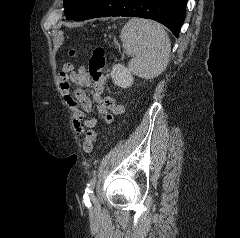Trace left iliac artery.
<instances>
[{
  "instance_id": "1",
  "label": "left iliac artery",
  "mask_w": 240,
  "mask_h": 238,
  "mask_svg": "<svg viewBox=\"0 0 240 238\" xmlns=\"http://www.w3.org/2000/svg\"><path fill=\"white\" fill-rule=\"evenodd\" d=\"M95 183H96V171H93V178L87 184L85 194H84V203L87 206H91V203L89 200V195L93 194V189H94Z\"/></svg>"
}]
</instances>
